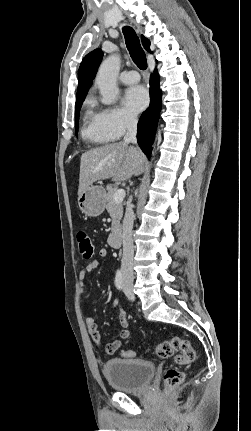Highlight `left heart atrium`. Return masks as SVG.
Returning a JSON list of instances; mask_svg holds the SVG:
<instances>
[{
	"label": "left heart atrium",
	"mask_w": 251,
	"mask_h": 431,
	"mask_svg": "<svg viewBox=\"0 0 251 431\" xmlns=\"http://www.w3.org/2000/svg\"><path fill=\"white\" fill-rule=\"evenodd\" d=\"M124 105L132 112L142 111L148 104V94L143 86L136 85L128 88L123 98Z\"/></svg>",
	"instance_id": "39dd6f15"
}]
</instances>
